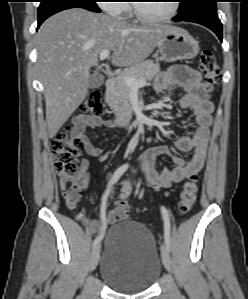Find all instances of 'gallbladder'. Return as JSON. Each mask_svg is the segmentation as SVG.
Wrapping results in <instances>:
<instances>
[{"label": "gallbladder", "instance_id": "obj_1", "mask_svg": "<svg viewBox=\"0 0 248 299\" xmlns=\"http://www.w3.org/2000/svg\"><path fill=\"white\" fill-rule=\"evenodd\" d=\"M104 82V77L100 74V73H94L92 75H90L89 78V88L91 89H95L100 87Z\"/></svg>", "mask_w": 248, "mask_h": 299}]
</instances>
